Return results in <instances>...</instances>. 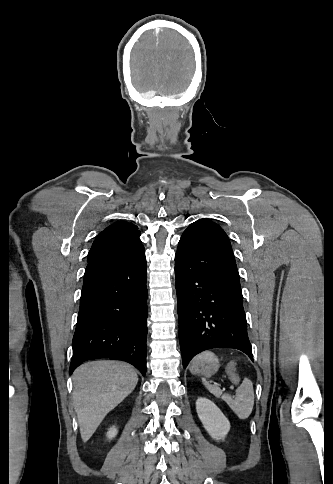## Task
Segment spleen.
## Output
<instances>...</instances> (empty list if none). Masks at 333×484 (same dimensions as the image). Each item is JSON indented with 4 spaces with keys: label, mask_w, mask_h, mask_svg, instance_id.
<instances>
[{
    "label": "spleen",
    "mask_w": 333,
    "mask_h": 484,
    "mask_svg": "<svg viewBox=\"0 0 333 484\" xmlns=\"http://www.w3.org/2000/svg\"><path fill=\"white\" fill-rule=\"evenodd\" d=\"M203 383L215 397H221L239 419L244 420L251 415L254 406V390L249 379L245 378L240 387L236 389L234 399L230 394H222L218 386L209 384L205 379H203Z\"/></svg>",
    "instance_id": "3e777b00"
}]
</instances>
